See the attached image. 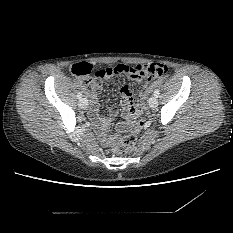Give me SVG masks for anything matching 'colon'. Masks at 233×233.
Wrapping results in <instances>:
<instances>
[{
  "instance_id": "colon-1",
  "label": "colon",
  "mask_w": 233,
  "mask_h": 233,
  "mask_svg": "<svg viewBox=\"0 0 233 233\" xmlns=\"http://www.w3.org/2000/svg\"><path fill=\"white\" fill-rule=\"evenodd\" d=\"M68 70L80 78L82 85H86L91 75L93 78H105L123 73L135 79L154 80L163 77L167 71V67L159 63H154L147 67L137 64L117 63L112 66L94 69L91 63L84 61L70 65ZM126 110L134 116H140L142 113V107L134 104L127 106ZM134 145L135 136L128 134L115 140L111 151L114 155H125L132 151Z\"/></svg>"
}]
</instances>
